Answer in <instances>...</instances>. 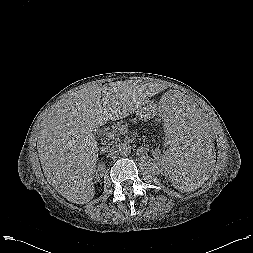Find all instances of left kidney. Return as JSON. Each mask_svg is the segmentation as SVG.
I'll return each instance as SVG.
<instances>
[{
    "mask_svg": "<svg viewBox=\"0 0 253 253\" xmlns=\"http://www.w3.org/2000/svg\"><path fill=\"white\" fill-rule=\"evenodd\" d=\"M180 189H183L184 187L182 185L178 186Z\"/></svg>",
    "mask_w": 253,
    "mask_h": 253,
    "instance_id": "left-kidney-1",
    "label": "left kidney"
}]
</instances>
